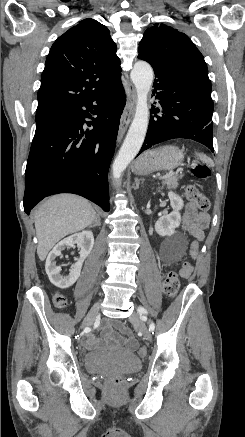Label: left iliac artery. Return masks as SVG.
Returning a JSON list of instances; mask_svg holds the SVG:
<instances>
[{
  "label": "left iliac artery",
  "instance_id": "left-iliac-artery-1",
  "mask_svg": "<svg viewBox=\"0 0 245 437\" xmlns=\"http://www.w3.org/2000/svg\"><path fill=\"white\" fill-rule=\"evenodd\" d=\"M138 313L140 314L142 320L146 321V317L144 316V314H147V310L144 307H138L137 309ZM155 329V325L153 322L150 323L149 325V330L153 332V330Z\"/></svg>",
  "mask_w": 245,
  "mask_h": 437
}]
</instances>
